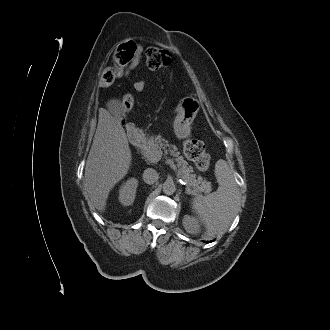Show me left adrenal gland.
<instances>
[{"label":"left adrenal gland","instance_id":"1","mask_svg":"<svg viewBox=\"0 0 330 330\" xmlns=\"http://www.w3.org/2000/svg\"><path fill=\"white\" fill-rule=\"evenodd\" d=\"M186 193H187V194H191V192H190L189 190H186Z\"/></svg>","mask_w":330,"mask_h":330}]
</instances>
